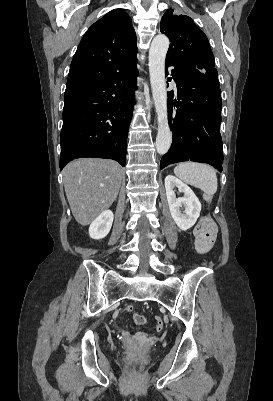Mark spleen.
<instances>
[{
  "label": "spleen",
  "instance_id": "1",
  "mask_svg": "<svg viewBox=\"0 0 273 401\" xmlns=\"http://www.w3.org/2000/svg\"><path fill=\"white\" fill-rule=\"evenodd\" d=\"M176 176L184 182L198 186L208 196H213L217 190V176L213 166L200 162H180L174 168Z\"/></svg>",
  "mask_w": 273,
  "mask_h": 401
}]
</instances>
